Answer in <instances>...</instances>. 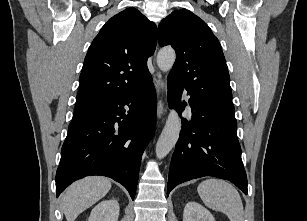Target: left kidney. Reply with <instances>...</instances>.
<instances>
[{
    "label": "left kidney",
    "instance_id": "left-kidney-1",
    "mask_svg": "<svg viewBox=\"0 0 307 221\" xmlns=\"http://www.w3.org/2000/svg\"><path fill=\"white\" fill-rule=\"evenodd\" d=\"M183 221H215V219L201 204L191 201L184 208Z\"/></svg>",
    "mask_w": 307,
    "mask_h": 221
}]
</instances>
